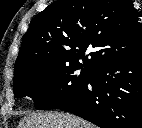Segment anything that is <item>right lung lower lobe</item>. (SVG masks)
Wrapping results in <instances>:
<instances>
[{"label":"right lung lower lobe","instance_id":"1","mask_svg":"<svg viewBox=\"0 0 142 128\" xmlns=\"http://www.w3.org/2000/svg\"><path fill=\"white\" fill-rule=\"evenodd\" d=\"M59 109L101 128H142V49L93 69L83 90Z\"/></svg>","mask_w":142,"mask_h":128}]
</instances>
